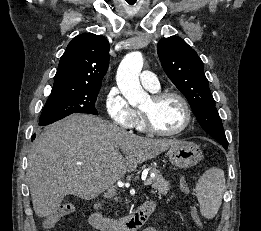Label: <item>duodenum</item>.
Listing matches in <instances>:
<instances>
[{"mask_svg":"<svg viewBox=\"0 0 261 231\" xmlns=\"http://www.w3.org/2000/svg\"><path fill=\"white\" fill-rule=\"evenodd\" d=\"M153 208L154 204L146 201L126 218L113 220L94 212L89 221L92 227L101 231H136L148 219Z\"/></svg>","mask_w":261,"mask_h":231,"instance_id":"duodenum-1","label":"duodenum"}]
</instances>
